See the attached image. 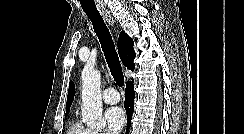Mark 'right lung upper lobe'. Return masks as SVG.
Segmentation results:
<instances>
[{
	"label": "right lung upper lobe",
	"instance_id": "1",
	"mask_svg": "<svg viewBox=\"0 0 244 134\" xmlns=\"http://www.w3.org/2000/svg\"><path fill=\"white\" fill-rule=\"evenodd\" d=\"M118 53H119L122 63L128 69L133 70L134 69L133 60L136 56L135 51L133 49V40L124 31H122L119 35ZM74 95H75V86H74L73 82H70L67 103H66V114L69 113L70 106L72 105V102L74 99Z\"/></svg>",
	"mask_w": 244,
	"mask_h": 134
}]
</instances>
